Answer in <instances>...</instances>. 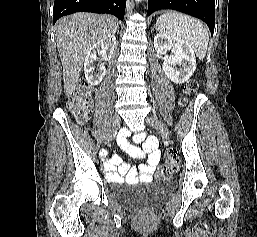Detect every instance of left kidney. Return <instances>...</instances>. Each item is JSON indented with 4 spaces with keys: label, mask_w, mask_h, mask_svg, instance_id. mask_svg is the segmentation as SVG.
I'll return each mask as SVG.
<instances>
[{
    "label": "left kidney",
    "mask_w": 257,
    "mask_h": 237,
    "mask_svg": "<svg viewBox=\"0 0 257 237\" xmlns=\"http://www.w3.org/2000/svg\"><path fill=\"white\" fill-rule=\"evenodd\" d=\"M154 47L160 55H164L162 68L172 82L182 84L193 75L196 59L189 43L175 36L158 33L154 37ZM168 50H171L173 55L168 56Z\"/></svg>",
    "instance_id": "1"
}]
</instances>
